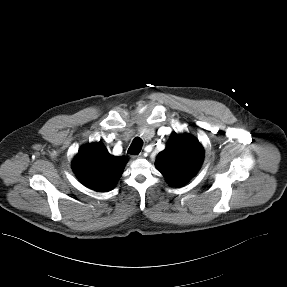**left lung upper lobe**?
Masks as SVG:
<instances>
[{
    "label": "left lung upper lobe",
    "mask_w": 287,
    "mask_h": 287,
    "mask_svg": "<svg viewBox=\"0 0 287 287\" xmlns=\"http://www.w3.org/2000/svg\"><path fill=\"white\" fill-rule=\"evenodd\" d=\"M203 158L204 149L196 138L174 132L156 157L155 166L171 186L178 187L195 176Z\"/></svg>",
    "instance_id": "obj_1"
}]
</instances>
